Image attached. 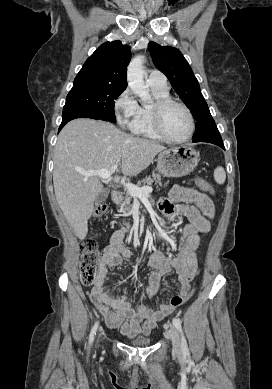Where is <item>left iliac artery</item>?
<instances>
[{
	"label": "left iliac artery",
	"mask_w": 272,
	"mask_h": 389,
	"mask_svg": "<svg viewBox=\"0 0 272 389\" xmlns=\"http://www.w3.org/2000/svg\"><path fill=\"white\" fill-rule=\"evenodd\" d=\"M172 323L177 328V330L181 333V343H182V350H183V352L188 354L189 353V349H188V345H187L186 339H185V337L183 335V332H182L181 321L178 318H173Z\"/></svg>",
	"instance_id": "left-iliac-artery-1"
}]
</instances>
